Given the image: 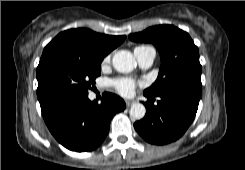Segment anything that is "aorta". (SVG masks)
<instances>
[{
	"mask_svg": "<svg viewBox=\"0 0 245 170\" xmlns=\"http://www.w3.org/2000/svg\"><path fill=\"white\" fill-rule=\"evenodd\" d=\"M112 64L118 72L128 73L136 67V60L130 51L120 50L114 54ZM129 113L133 118L139 120L145 116L146 109L141 103H133Z\"/></svg>",
	"mask_w": 245,
	"mask_h": 170,
	"instance_id": "aorta-1",
	"label": "aorta"
}]
</instances>
